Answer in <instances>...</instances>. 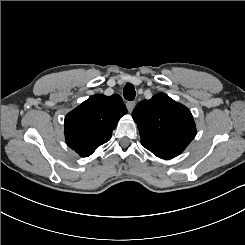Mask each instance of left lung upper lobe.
<instances>
[{
	"label": "left lung upper lobe",
	"mask_w": 245,
	"mask_h": 245,
	"mask_svg": "<svg viewBox=\"0 0 245 245\" xmlns=\"http://www.w3.org/2000/svg\"><path fill=\"white\" fill-rule=\"evenodd\" d=\"M132 117L139 128L141 144L163 159L181 154L196 134L190 110L163 93L139 102Z\"/></svg>",
	"instance_id": "5c2ea615"
}]
</instances>
